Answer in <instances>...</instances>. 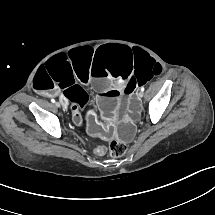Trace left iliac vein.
Wrapping results in <instances>:
<instances>
[{
  "instance_id": "4c4485c4",
  "label": "left iliac vein",
  "mask_w": 215,
  "mask_h": 215,
  "mask_svg": "<svg viewBox=\"0 0 215 215\" xmlns=\"http://www.w3.org/2000/svg\"><path fill=\"white\" fill-rule=\"evenodd\" d=\"M143 96H144V92L140 90L139 93H138V97L142 98Z\"/></svg>"
}]
</instances>
